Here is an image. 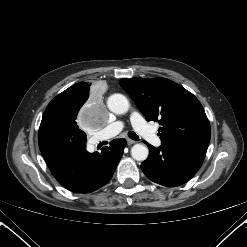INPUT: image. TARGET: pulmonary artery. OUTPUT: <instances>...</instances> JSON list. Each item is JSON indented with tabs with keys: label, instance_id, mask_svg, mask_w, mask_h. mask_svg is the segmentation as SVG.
Listing matches in <instances>:
<instances>
[{
	"label": "pulmonary artery",
	"instance_id": "obj_1",
	"mask_svg": "<svg viewBox=\"0 0 247 247\" xmlns=\"http://www.w3.org/2000/svg\"><path fill=\"white\" fill-rule=\"evenodd\" d=\"M130 121L134 129L148 142L155 146H159L161 144L160 138L156 134L155 130L152 129L142 118V116L134 111L130 115ZM124 128L123 121H115L108 126H106L102 131L99 132L100 139H109L117 134H119Z\"/></svg>",
	"mask_w": 247,
	"mask_h": 247
}]
</instances>
